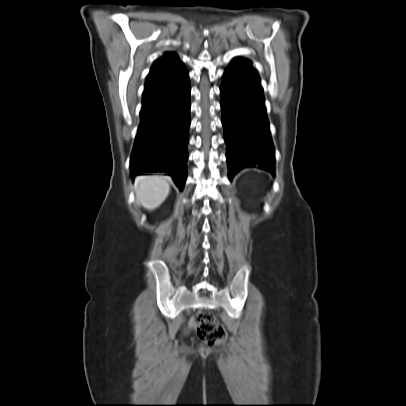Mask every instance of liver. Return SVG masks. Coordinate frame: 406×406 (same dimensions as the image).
<instances>
[{"instance_id": "obj_1", "label": "liver", "mask_w": 406, "mask_h": 406, "mask_svg": "<svg viewBox=\"0 0 406 406\" xmlns=\"http://www.w3.org/2000/svg\"><path fill=\"white\" fill-rule=\"evenodd\" d=\"M169 192V178L166 176H141L135 181L136 199L147 210L159 207Z\"/></svg>"}]
</instances>
